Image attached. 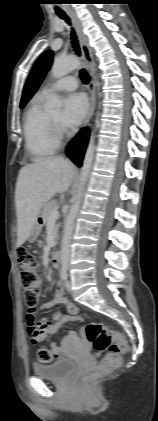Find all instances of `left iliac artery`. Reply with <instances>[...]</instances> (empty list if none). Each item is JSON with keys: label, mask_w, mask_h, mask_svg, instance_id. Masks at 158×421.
Masks as SVG:
<instances>
[{"label": "left iliac artery", "mask_w": 158, "mask_h": 421, "mask_svg": "<svg viewBox=\"0 0 158 421\" xmlns=\"http://www.w3.org/2000/svg\"><path fill=\"white\" fill-rule=\"evenodd\" d=\"M67 270H68V261L64 260L62 262L61 271H60V277L64 281L67 279V276H68Z\"/></svg>", "instance_id": "left-iliac-artery-1"}]
</instances>
